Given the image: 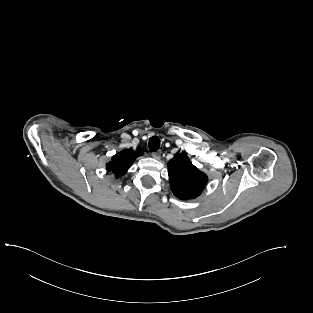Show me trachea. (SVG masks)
<instances>
[{
  "label": "trachea",
  "instance_id": "3493384b",
  "mask_svg": "<svg viewBox=\"0 0 313 313\" xmlns=\"http://www.w3.org/2000/svg\"><path fill=\"white\" fill-rule=\"evenodd\" d=\"M148 146L151 151H157L160 148V139L157 136L151 137Z\"/></svg>",
  "mask_w": 313,
  "mask_h": 313
}]
</instances>
